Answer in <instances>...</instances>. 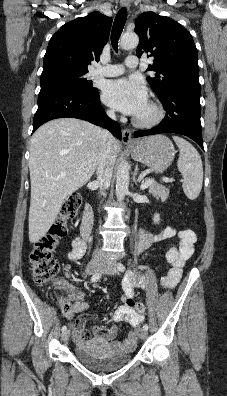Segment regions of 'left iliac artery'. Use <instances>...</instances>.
Wrapping results in <instances>:
<instances>
[{
  "mask_svg": "<svg viewBox=\"0 0 227 396\" xmlns=\"http://www.w3.org/2000/svg\"><path fill=\"white\" fill-rule=\"evenodd\" d=\"M117 268H118V270L121 271V272H124V271H125V266H124L122 263H118ZM143 329L147 331V330H148V325H147V324H144V325H143Z\"/></svg>",
  "mask_w": 227,
  "mask_h": 396,
  "instance_id": "left-iliac-artery-1",
  "label": "left iliac artery"
}]
</instances>
